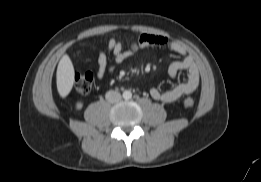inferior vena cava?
Listing matches in <instances>:
<instances>
[{"label":"inferior vena cava","instance_id":"602c4592","mask_svg":"<svg viewBox=\"0 0 261 182\" xmlns=\"http://www.w3.org/2000/svg\"><path fill=\"white\" fill-rule=\"evenodd\" d=\"M105 98L110 103H116L121 100V94L117 91H108L105 95Z\"/></svg>","mask_w":261,"mask_h":182}]
</instances>
